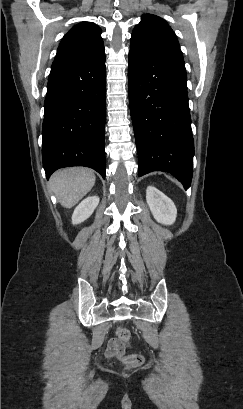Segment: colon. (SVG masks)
<instances>
[{
    "mask_svg": "<svg viewBox=\"0 0 243 409\" xmlns=\"http://www.w3.org/2000/svg\"><path fill=\"white\" fill-rule=\"evenodd\" d=\"M119 339H121L125 345H129L131 334L130 331L125 328H120L117 330ZM122 361L131 368L139 367L144 363V357L139 354H128L125 349H123Z\"/></svg>",
    "mask_w": 243,
    "mask_h": 409,
    "instance_id": "5ec220e1",
    "label": "colon"
}]
</instances>
